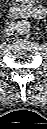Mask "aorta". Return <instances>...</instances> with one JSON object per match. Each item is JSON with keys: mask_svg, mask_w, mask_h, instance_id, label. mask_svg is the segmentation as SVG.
<instances>
[{"mask_svg": "<svg viewBox=\"0 0 47 129\" xmlns=\"http://www.w3.org/2000/svg\"><path fill=\"white\" fill-rule=\"evenodd\" d=\"M30 29H31L30 22H28L26 20L18 21L15 26L16 32L20 35L28 34L30 32Z\"/></svg>", "mask_w": 47, "mask_h": 129, "instance_id": "aorta-1", "label": "aorta"}]
</instances>
